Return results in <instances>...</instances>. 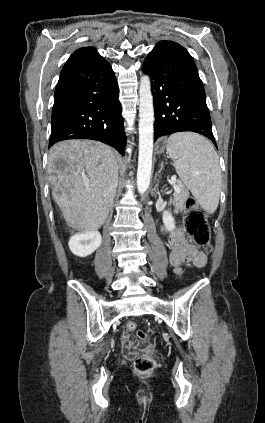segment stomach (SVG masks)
Returning <instances> with one entry per match:
<instances>
[{
	"instance_id": "stomach-1",
	"label": "stomach",
	"mask_w": 265,
	"mask_h": 423,
	"mask_svg": "<svg viewBox=\"0 0 265 423\" xmlns=\"http://www.w3.org/2000/svg\"><path fill=\"white\" fill-rule=\"evenodd\" d=\"M164 148H165V145H164V144H161V145L159 146V151H160V152H162V151L164 150Z\"/></svg>"
}]
</instances>
